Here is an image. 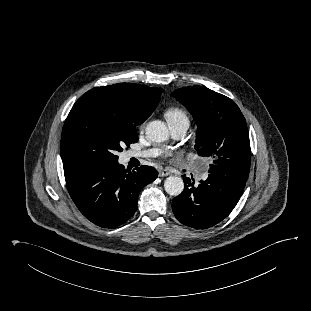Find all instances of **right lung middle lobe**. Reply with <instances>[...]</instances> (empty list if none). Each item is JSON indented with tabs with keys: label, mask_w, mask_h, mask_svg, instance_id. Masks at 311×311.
Masks as SVG:
<instances>
[{
	"label": "right lung middle lobe",
	"mask_w": 311,
	"mask_h": 311,
	"mask_svg": "<svg viewBox=\"0 0 311 311\" xmlns=\"http://www.w3.org/2000/svg\"><path fill=\"white\" fill-rule=\"evenodd\" d=\"M130 110L103 93H85L68 114L61 136L63 166L118 162L117 153L138 141Z\"/></svg>",
	"instance_id": "dd1d6c3e"
}]
</instances>
